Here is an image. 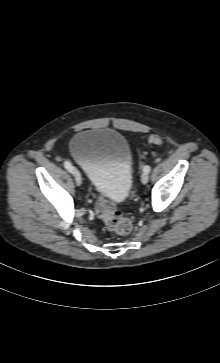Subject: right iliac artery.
<instances>
[{
	"mask_svg": "<svg viewBox=\"0 0 220 363\" xmlns=\"http://www.w3.org/2000/svg\"><path fill=\"white\" fill-rule=\"evenodd\" d=\"M64 166H65V168L69 171V172H73V170H74V167L72 166V164L69 162V161H65L64 162Z\"/></svg>",
	"mask_w": 220,
	"mask_h": 363,
	"instance_id": "right-iliac-artery-1",
	"label": "right iliac artery"
}]
</instances>
